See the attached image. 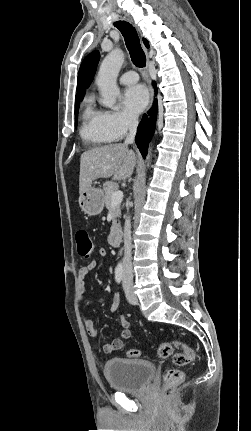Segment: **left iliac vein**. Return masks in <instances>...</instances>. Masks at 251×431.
Segmentation results:
<instances>
[{"label":"left iliac vein","instance_id":"obj_1","mask_svg":"<svg viewBox=\"0 0 251 431\" xmlns=\"http://www.w3.org/2000/svg\"><path fill=\"white\" fill-rule=\"evenodd\" d=\"M124 290H125L126 298L129 301V303L136 305L138 303V299L135 293L133 292L132 287L129 285H125Z\"/></svg>","mask_w":251,"mask_h":431}]
</instances>
